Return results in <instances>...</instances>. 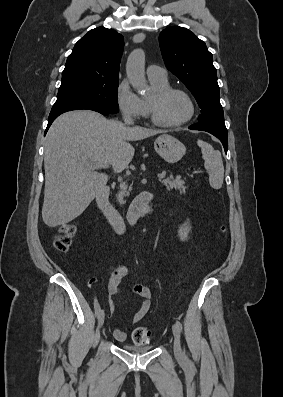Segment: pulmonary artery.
Returning <instances> with one entry per match:
<instances>
[{
	"label": "pulmonary artery",
	"mask_w": 283,
	"mask_h": 397,
	"mask_svg": "<svg viewBox=\"0 0 283 397\" xmlns=\"http://www.w3.org/2000/svg\"><path fill=\"white\" fill-rule=\"evenodd\" d=\"M147 75L151 79L163 80L167 78L166 71L157 65H150L147 68Z\"/></svg>",
	"instance_id": "e3ab8cb5"
}]
</instances>
